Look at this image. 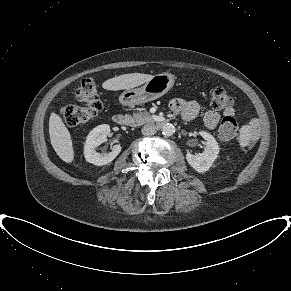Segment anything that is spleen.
<instances>
[{
    "label": "spleen",
    "mask_w": 291,
    "mask_h": 291,
    "mask_svg": "<svg viewBox=\"0 0 291 291\" xmlns=\"http://www.w3.org/2000/svg\"><path fill=\"white\" fill-rule=\"evenodd\" d=\"M241 146H246L248 144V139L242 135L241 137V142H240Z\"/></svg>",
    "instance_id": "spleen-1"
}]
</instances>
